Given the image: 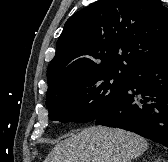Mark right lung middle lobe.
<instances>
[{"mask_svg": "<svg viewBox=\"0 0 168 162\" xmlns=\"http://www.w3.org/2000/svg\"><path fill=\"white\" fill-rule=\"evenodd\" d=\"M129 74L106 72L86 75L49 88L46 105L52 121L90 122L113 102Z\"/></svg>", "mask_w": 168, "mask_h": 162, "instance_id": "dd1d6c3e", "label": "right lung middle lobe"}]
</instances>
